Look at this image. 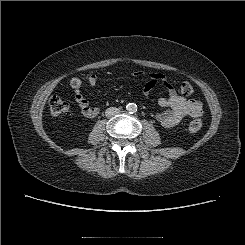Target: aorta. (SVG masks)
<instances>
[{
	"instance_id": "762f6f07",
	"label": "aorta",
	"mask_w": 245,
	"mask_h": 245,
	"mask_svg": "<svg viewBox=\"0 0 245 245\" xmlns=\"http://www.w3.org/2000/svg\"><path fill=\"white\" fill-rule=\"evenodd\" d=\"M126 110L129 113H135L137 111V105L135 103H128L126 105Z\"/></svg>"
}]
</instances>
